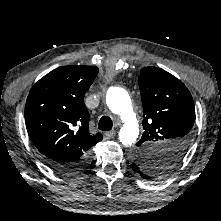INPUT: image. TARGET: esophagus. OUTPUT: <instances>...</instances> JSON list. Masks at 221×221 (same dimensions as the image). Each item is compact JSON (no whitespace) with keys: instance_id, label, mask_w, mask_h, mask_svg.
<instances>
[{"instance_id":"34e87169","label":"esophagus","mask_w":221,"mask_h":221,"mask_svg":"<svg viewBox=\"0 0 221 221\" xmlns=\"http://www.w3.org/2000/svg\"><path fill=\"white\" fill-rule=\"evenodd\" d=\"M107 138H113L116 135V131L112 130V131H108L105 133Z\"/></svg>"}]
</instances>
